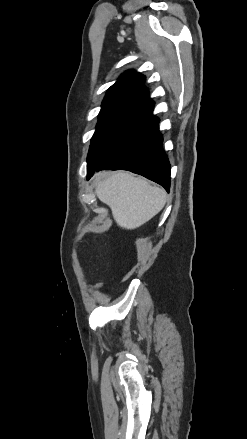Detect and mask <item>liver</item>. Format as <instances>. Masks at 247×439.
I'll return each instance as SVG.
<instances>
[{
	"label": "liver",
	"instance_id": "1",
	"mask_svg": "<svg viewBox=\"0 0 247 439\" xmlns=\"http://www.w3.org/2000/svg\"><path fill=\"white\" fill-rule=\"evenodd\" d=\"M95 193L101 202L110 207L117 225L128 230L136 229L153 218L167 200L164 189L123 171L97 176Z\"/></svg>",
	"mask_w": 247,
	"mask_h": 439
}]
</instances>
